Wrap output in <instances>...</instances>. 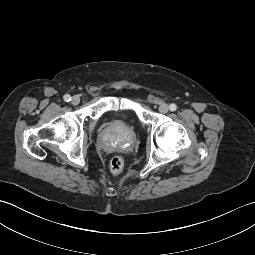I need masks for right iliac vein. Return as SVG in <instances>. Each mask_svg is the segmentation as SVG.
Returning <instances> with one entry per match:
<instances>
[{
	"instance_id": "63e3f726",
	"label": "right iliac vein",
	"mask_w": 255,
	"mask_h": 255,
	"mask_svg": "<svg viewBox=\"0 0 255 255\" xmlns=\"http://www.w3.org/2000/svg\"><path fill=\"white\" fill-rule=\"evenodd\" d=\"M71 103H72L73 105H78V104L80 103V97L77 96V95L73 96V97H72V100H71Z\"/></svg>"
}]
</instances>
